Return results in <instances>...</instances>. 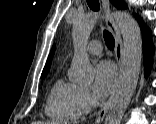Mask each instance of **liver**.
Returning <instances> with one entry per match:
<instances>
[{
  "mask_svg": "<svg viewBox=\"0 0 156 124\" xmlns=\"http://www.w3.org/2000/svg\"><path fill=\"white\" fill-rule=\"evenodd\" d=\"M34 124H53V123H50V122H35Z\"/></svg>",
  "mask_w": 156,
  "mask_h": 124,
  "instance_id": "6515ba94",
  "label": "liver"
}]
</instances>
